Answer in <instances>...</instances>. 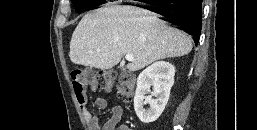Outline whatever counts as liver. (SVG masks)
<instances>
[{
  "mask_svg": "<svg viewBox=\"0 0 257 130\" xmlns=\"http://www.w3.org/2000/svg\"><path fill=\"white\" fill-rule=\"evenodd\" d=\"M192 41L153 12L132 7H102L83 16L70 41L74 64L108 70L131 54L127 68L134 72L151 63L187 55Z\"/></svg>",
  "mask_w": 257,
  "mask_h": 130,
  "instance_id": "obj_1",
  "label": "liver"
}]
</instances>
